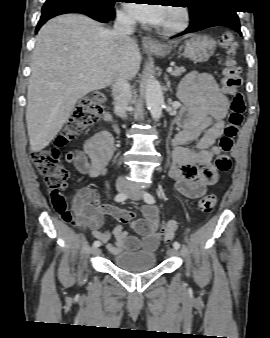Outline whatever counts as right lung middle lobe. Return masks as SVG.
Returning a JSON list of instances; mask_svg holds the SVG:
<instances>
[{"label": "right lung middle lobe", "mask_w": 270, "mask_h": 338, "mask_svg": "<svg viewBox=\"0 0 270 338\" xmlns=\"http://www.w3.org/2000/svg\"><path fill=\"white\" fill-rule=\"evenodd\" d=\"M116 0H46V3H75L82 2L86 4L99 5L104 7L114 6Z\"/></svg>", "instance_id": "dd1d6c3e"}]
</instances>
